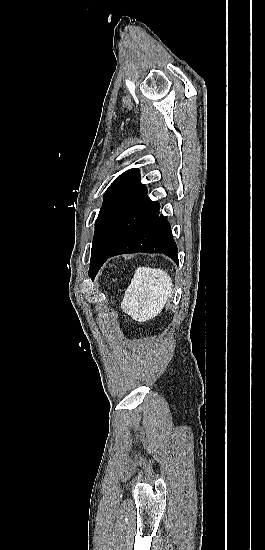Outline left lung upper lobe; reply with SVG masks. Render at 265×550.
Wrapping results in <instances>:
<instances>
[{"label": "left lung upper lobe", "mask_w": 265, "mask_h": 550, "mask_svg": "<svg viewBox=\"0 0 265 550\" xmlns=\"http://www.w3.org/2000/svg\"><path fill=\"white\" fill-rule=\"evenodd\" d=\"M140 170L130 169L118 176L104 194L95 223L91 252L105 254L159 203L147 197L140 182Z\"/></svg>", "instance_id": "5c2ea615"}]
</instances>
